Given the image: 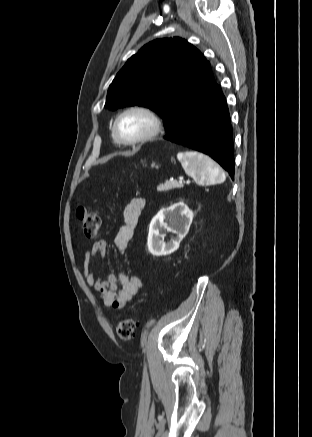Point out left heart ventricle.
<instances>
[{
    "instance_id": "b2bd125f",
    "label": "left heart ventricle",
    "mask_w": 312,
    "mask_h": 437,
    "mask_svg": "<svg viewBox=\"0 0 312 437\" xmlns=\"http://www.w3.org/2000/svg\"><path fill=\"white\" fill-rule=\"evenodd\" d=\"M152 122L145 114L133 112L125 115L119 124L122 136L127 140H134L147 134Z\"/></svg>"
}]
</instances>
